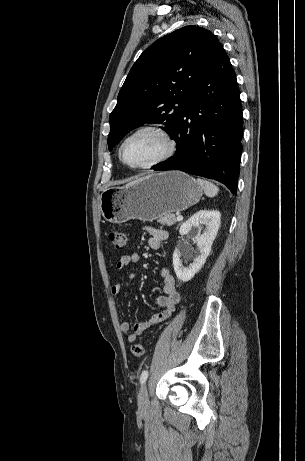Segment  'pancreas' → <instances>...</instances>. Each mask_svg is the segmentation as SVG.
Returning <instances> with one entry per match:
<instances>
[{
	"label": "pancreas",
	"mask_w": 305,
	"mask_h": 461,
	"mask_svg": "<svg viewBox=\"0 0 305 461\" xmlns=\"http://www.w3.org/2000/svg\"><path fill=\"white\" fill-rule=\"evenodd\" d=\"M158 222L161 225L172 226L177 222V218L174 214H165L163 217H160Z\"/></svg>",
	"instance_id": "pancreas-1"
}]
</instances>
